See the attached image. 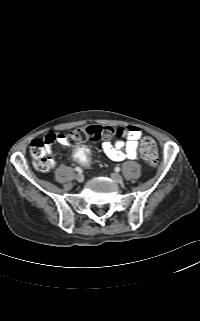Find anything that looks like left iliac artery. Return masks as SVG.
<instances>
[{
  "label": "left iliac artery",
  "instance_id": "1",
  "mask_svg": "<svg viewBox=\"0 0 200 321\" xmlns=\"http://www.w3.org/2000/svg\"><path fill=\"white\" fill-rule=\"evenodd\" d=\"M115 171L119 172L120 171V167H115Z\"/></svg>",
  "mask_w": 200,
  "mask_h": 321
}]
</instances>
